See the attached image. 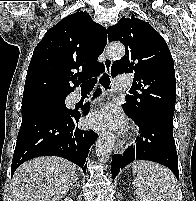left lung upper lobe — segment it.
<instances>
[{
  "label": "left lung upper lobe",
  "mask_w": 196,
  "mask_h": 201,
  "mask_svg": "<svg viewBox=\"0 0 196 201\" xmlns=\"http://www.w3.org/2000/svg\"><path fill=\"white\" fill-rule=\"evenodd\" d=\"M108 40L125 45L124 57L111 67L114 77L134 73L133 85L142 93L126 97L125 112L134 119L158 112L174 115L176 81L174 62L162 36L147 22L122 17L108 28Z\"/></svg>",
  "instance_id": "5c2ea615"
}]
</instances>
